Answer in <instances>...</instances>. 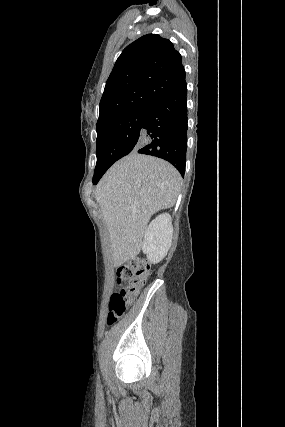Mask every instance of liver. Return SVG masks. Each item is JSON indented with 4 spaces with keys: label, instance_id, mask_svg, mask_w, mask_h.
Wrapping results in <instances>:
<instances>
[{
    "label": "liver",
    "instance_id": "6515ba94",
    "mask_svg": "<svg viewBox=\"0 0 285 427\" xmlns=\"http://www.w3.org/2000/svg\"><path fill=\"white\" fill-rule=\"evenodd\" d=\"M181 182L170 163L136 152L105 173L95 189V199L109 232L114 266L140 253L150 218L174 206Z\"/></svg>",
    "mask_w": 285,
    "mask_h": 427
}]
</instances>
